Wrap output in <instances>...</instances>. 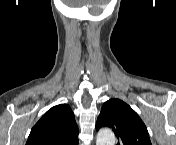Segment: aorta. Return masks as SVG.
<instances>
[{
  "mask_svg": "<svg viewBox=\"0 0 176 145\" xmlns=\"http://www.w3.org/2000/svg\"><path fill=\"white\" fill-rule=\"evenodd\" d=\"M97 145H115V135L110 129H102L97 134Z\"/></svg>",
  "mask_w": 176,
  "mask_h": 145,
  "instance_id": "762f6f07",
  "label": "aorta"
}]
</instances>
